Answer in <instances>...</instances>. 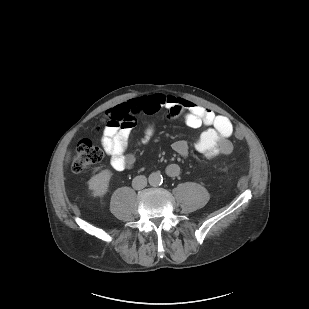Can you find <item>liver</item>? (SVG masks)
Returning <instances> with one entry per match:
<instances>
[{
  "instance_id": "obj_1",
  "label": "liver",
  "mask_w": 309,
  "mask_h": 309,
  "mask_svg": "<svg viewBox=\"0 0 309 309\" xmlns=\"http://www.w3.org/2000/svg\"><path fill=\"white\" fill-rule=\"evenodd\" d=\"M70 158V153L67 154V158H66V161H68Z\"/></svg>"
}]
</instances>
